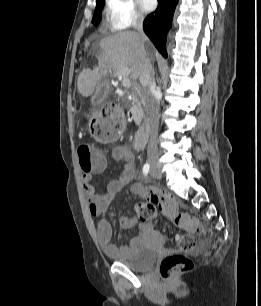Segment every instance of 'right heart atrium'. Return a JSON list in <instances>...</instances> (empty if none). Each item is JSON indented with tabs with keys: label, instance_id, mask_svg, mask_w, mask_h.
<instances>
[{
	"label": "right heart atrium",
	"instance_id": "obj_1",
	"mask_svg": "<svg viewBox=\"0 0 261 306\" xmlns=\"http://www.w3.org/2000/svg\"><path fill=\"white\" fill-rule=\"evenodd\" d=\"M110 27L114 30H126L138 26L142 20L134 0H107Z\"/></svg>",
	"mask_w": 261,
	"mask_h": 306
}]
</instances>
